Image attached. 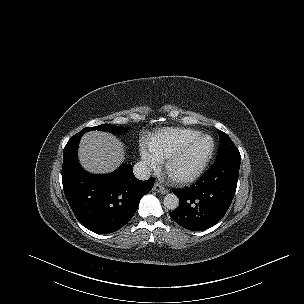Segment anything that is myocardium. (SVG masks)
I'll return each mask as SVG.
<instances>
[{
  "label": "myocardium",
  "mask_w": 304,
  "mask_h": 304,
  "mask_svg": "<svg viewBox=\"0 0 304 304\" xmlns=\"http://www.w3.org/2000/svg\"><path fill=\"white\" fill-rule=\"evenodd\" d=\"M203 139H209L211 141V147L209 149L206 157L201 161V163L192 171L188 173L178 174L174 171L175 164L198 142ZM215 151V142L214 139L208 134H201L198 137L191 140L185 146H183L180 150L172 154L166 161L165 170L169 179L176 184H188L195 180H197L205 171L209 162L211 161Z\"/></svg>",
  "instance_id": "obj_1"
}]
</instances>
